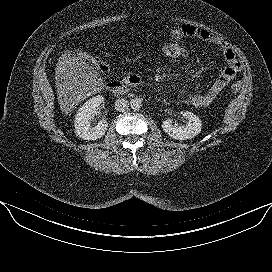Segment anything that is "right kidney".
<instances>
[{"label": "right kidney", "instance_id": "right-kidney-1", "mask_svg": "<svg viewBox=\"0 0 272 272\" xmlns=\"http://www.w3.org/2000/svg\"><path fill=\"white\" fill-rule=\"evenodd\" d=\"M103 103L104 97L102 95H97L87 100L81 106L74 120L76 136L89 141L97 140L105 135L108 127V122L106 120H101L97 125L91 126L95 114Z\"/></svg>", "mask_w": 272, "mask_h": 272}]
</instances>
